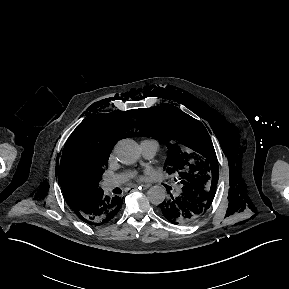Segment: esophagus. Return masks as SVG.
Instances as JSON below:
<instances>
[{
    "mask_svg": "<svg viewBox=\"0 0 289 289\" xmlns=\"http://www.w3.org/2000/svg\"><path fill=\"white\" fill-rule=\"evenodd\" d=\"M151 185L150 184H144V185H141L140 187L143 188V189H148ZM135 189H139V187H134Z\"/></svg>",
    "mask_w": 289,
    "mask_h": 289,
    "instance_id": "obj_1",
    "label": "esophagus"
}]
</instances>
